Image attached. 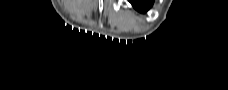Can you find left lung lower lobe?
<instances>
[{
    "instance_id": "0a47b994",
    "label": "left lung lower lobe",
    "mask_w": 228,
    "mask_h": 90,
    "mask_svg": "<svg viewBox=\"0 0 228 90\" xmlns=\"http://www.w3.org/2000/svg\"><path fill=\"white\" fill-rule=\"evenodd\" d=\"M132 5L141 12L146 11L148 8L151 7L153 1H148V0H132L130 1Z\"/></svg>"
}]
</instances>
